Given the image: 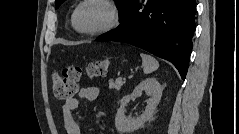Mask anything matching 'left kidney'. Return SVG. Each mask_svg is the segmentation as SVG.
<instances>
[{
	"label": "left kidney",
	"mask_w": 239,
	"mask_h": 134,
	"mask_svg": "<svg viewBox=\"0 0 239 134\" xmlns=\"http://www.w3.org/2000/svg\"><path fill=\"white\" fill-rule=\"evenodd\" d=\"M143 91L150 97L145 111L137 118H127L124 114L125 107L130 102L132 96H141ZM162 91L163 87L156 78H147L135 87L131 95L124 96L120 100V108L115 117V127L117 131L120 134H129L141 128L145 122L152 118L161 100Z\"/></svg>",
	"instance_id": "left-kidney-1"
}]
</instances>
